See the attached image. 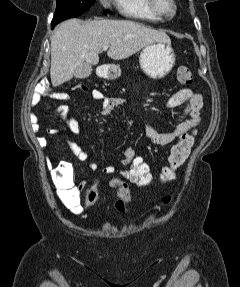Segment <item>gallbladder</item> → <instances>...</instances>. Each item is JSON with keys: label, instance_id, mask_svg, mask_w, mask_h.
Returning a JSON list of instances; mask_svg holds the SVG:
<instances>
[{"label": "gallbladder", "instance_id": "bac80fb5", "mask_svg": "<svg viewBox=\"0 0 240 287\" xmlns=\"http://www.w3.org/2000/svg\"><path fill=\"white\" fill-rule=\"evenodd\" d=\"M91 72H92L91 65L83 63L82 65L78 66L74 71V77L78 79H84L89 77Z\"/></svg>", "mask_w": 240, "mask_h": 287}]
</instances>
